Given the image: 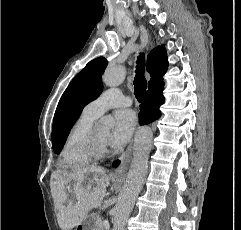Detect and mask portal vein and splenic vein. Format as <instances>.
Masks as SVG:
<instances>
[{
    "mask_svg": "<svg viewBox=\"0 0 241 230\" xmlns=\"http://www.w3.org/2000/svg\"><path fill=\"white\" fill-rule=\"evenodd\" d=\"M103 225H104V227H106V228L109 227L108 221H104Z\"/></svg>",
    "mask_w": 241,
    "mask_h": 230,
    "instance_id": "1",
    "label": "portal vein and splenic vein"
}]
</instances>
